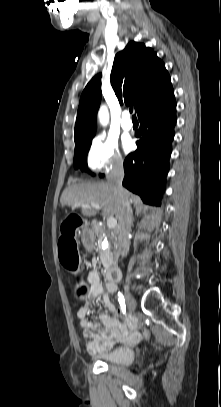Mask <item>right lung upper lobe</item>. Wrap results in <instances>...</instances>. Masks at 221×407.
Masks as SVG:
<instances>
[{"mask_svg": "<svg viewBox=\"0 0 221 407\" xmlns=\"http://www.w3.org/2000/svg\"><path fill=\"white\" fill-rule=\"evenodd\" d=\"M100 78L101 74L92 78L82 92L75 124V144L95 136L101 101ZM110 81L120 104L132 103L136 112L172 86L165 65L156 53L134 41L116 54Z\"/></svg>", "mask_w": 221, "mask_h": 407, "instance_id": "cb5924a9", "label": "right lung upper lobe"}]
</instances>
